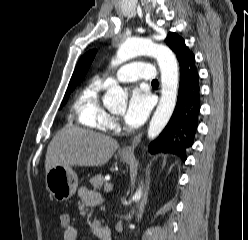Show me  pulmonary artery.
Returning a JSON list of instances; mask_svg holds the SVG:
<instances>
[{
	"label": "pulmonary artery",
	"instance_id": "obj_1",
	"mask_svg": "<svg viewBox=\"0 0 248 240\" xmlns=\"http://www.w3.org/2000/svg\"><path fill=\"white\" fill-rule=\"evenodd\" d=\"M116 79L121 82L138 80L152 81L156 79V70L146 62L133 61L120 67L116 72Z\"/></svg>",
	"mask_w": 248,
	"mask_h": 240
}]
</instances>
